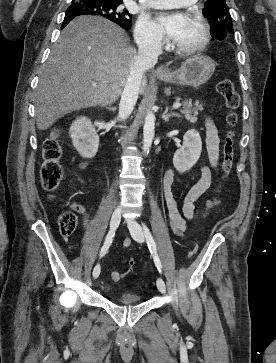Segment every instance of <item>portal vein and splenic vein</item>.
I'll return each instance as SVG.
<instances>
[{
    "mask_svg": "<svg viewBox=\"0 0 276 363\" xmlns=\"http://www.w3.org/2000/svg\"><path fill=\"white\" fill-rule=\"evenodd\" d=\"M93 86L94 87H97V84H93ZM181 107V104L180 103H175V104H173V109H178V108H180Z\"/></svg>",
    "mask_w": 276,
    "mask_h": 363,
    "instance_id": "18ae733b",
    "label": "portal vein and splenic vein"
}]
</instances>
